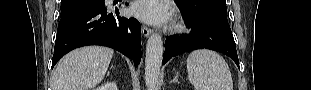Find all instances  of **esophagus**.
I'll return each mask as SVG.
<instances>
[{
	"label": "esophagus",
	"instance_id": "1",
	"mask_svg": "<svg viewBox=\"0 0 311 90\" xmlns=\"http://www.w3.org/2000/svg\"><path fill=\"white\" fill-rule=\"evenodd\" d=\"M142 34L144 37H148L151 34V29L145 25H142Z\"/></svg>",
	"mask_w": 311,
	"mask_h": 90
}]
</instances>
